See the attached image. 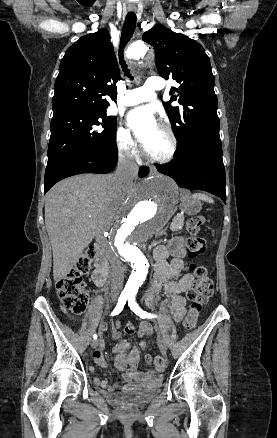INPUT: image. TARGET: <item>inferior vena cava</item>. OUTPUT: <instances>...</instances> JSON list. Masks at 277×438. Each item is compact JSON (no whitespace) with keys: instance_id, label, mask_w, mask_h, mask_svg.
Here are the masks:
<instances>
[{"instance_id":"inferior-vena-cava-1","label":"inferior vena cava","mask_w":277,"mask_h":438,"mask_svg":"<svg viewBox=\"0 0 277 438\" xmlns=\"http://www.w3.org/2000/svg\"><path fill=\"white\" fill-rule=\"evenodd\" d=\"M139 168L135 162L134 156L131 154H124L121 152L118 156L117 170L113 174L114 184L117 190H125V188H130L133 186L135 178H137ZM112 268V282H111V292L114 290H121L124 282V274L121 268V262L118 260L117 256L110 260Z\"/></svg>"}]
</instances>
